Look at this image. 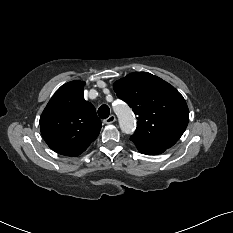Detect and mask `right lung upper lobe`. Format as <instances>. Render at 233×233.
<instances>
[{"label":"right lung upper lobe","mask_w":233,"mask_h":233,"mask_svg":"<svg viewBox=\"0 0 233 233\" xmlns=\"http://www.w3.org/2000/svg\"><path fill=\"white\" fill-rule=\"evenodd\" d=\"M84 82L62 85L40 117V130L55 152L79 151L93 142L102 127L94 106L84 100Z\"/></svg>","instance_id":"cb5924a9"}]
</instances>
